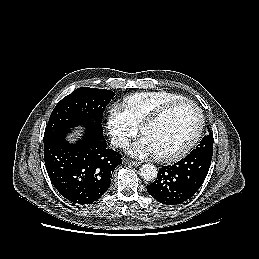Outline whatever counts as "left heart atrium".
Masks as SVG:
<instances>
[{
	"label": "left heart atrium",
	"instance_id": "1",
	"mask_svg": "<svg viewBox=\"0 0 259 259\" xmlns=\"http://www.w3.org/2000/svg\"><path fill=\"white\" fill-rule=\"evenodd\" d=\"M126 151L130 155H132L134 157H138V158H144V157L155 155V151H154L151 143L144 136L140 137L133 143L127 145Z\"/></svg>",
	"mask_w": 259,
	"mask_h": 259
}]
</instances>
